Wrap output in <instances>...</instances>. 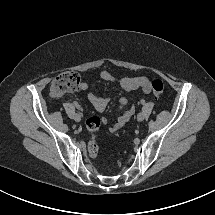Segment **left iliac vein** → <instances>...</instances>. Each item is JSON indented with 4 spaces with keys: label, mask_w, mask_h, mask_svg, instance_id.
I'll use <instances>...</instances> for the list:
<instances>
[{
    "label": "left iliac vein",
    "mask_w": 215,
    "mask_h": 215,
    "mask_svg": "<svg viewBox=\"0 0 215 215\" xmlns=\"http://www.w3.org/2000/svg\"><path fill=\"white\" fill-rule=\"evenodd\" d=\"M137 120H138V121H143V120H144V115H143L142 113H139V114L137 115Z\"/></svg>",
    "instance_id": "4c4485c4"
}]
</instances>
